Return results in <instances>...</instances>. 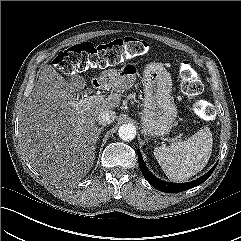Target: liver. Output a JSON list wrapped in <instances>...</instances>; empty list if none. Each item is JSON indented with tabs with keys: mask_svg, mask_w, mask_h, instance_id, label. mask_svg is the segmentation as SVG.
I'll return each instance as SVG.
<instances>
[{
	"mask_svg": "<svg viewBox=\"0 0 241 241\" xmlns=\"http://www.w3.org/2000/svg\"><path fill=\"white\" fill-rule=\"evenodd\" d=\"M106 86L119 87L114 79ZM77 84L68 81L52 65H45L24 105L19 132L27 160L53 185L81 180L95 160V115L119 105L118 94L104 102L83 101Z\"/></svg>",
	"mask_w": 241,
	"mask_h": 241,
	"instance_id": "obj_1",
	"label": "liver"
}]
</instances>
